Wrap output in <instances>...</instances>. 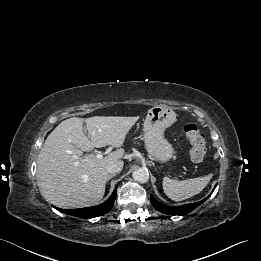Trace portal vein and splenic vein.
Wrapping results in <instances>:
<instances>
[{"instance_id": "18ae733b", "label": "portal vein and splenic vein", "mask_w": 261, "mask_h": 261, "mask_svg": "<svg viewBox=\"0 0 261 261\" xmlns=\"http://www.w3.org/2000/svg\"><path fill=\"white\" fill-rule=\"evenodd\" d=\"M102 157H103L102 153H101V152H98V153H97V158H102Z\"/></svg>"}]
</instances>
